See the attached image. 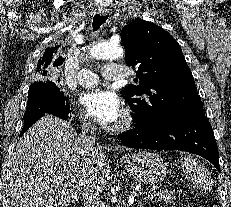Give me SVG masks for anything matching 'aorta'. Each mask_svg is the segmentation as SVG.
I'll use <instances>...</instances> for the list:
<instances>
[{
	"mask_svg": "<svg viewBox=\"0 0 231 207\" xmlns=\"http://www.w3.org/2000/svg\"><path fill=\"white\" fill-rule=\"evenodd\" d=\"M90 54L96 59L114 60L124 56V49L109 42H98L90 48Z\"/></svg>",
	"mask_w": 231,
	"mask_h": 207,
	"instance_id": "1",
	"label": "aorta"
}]
</instances>
